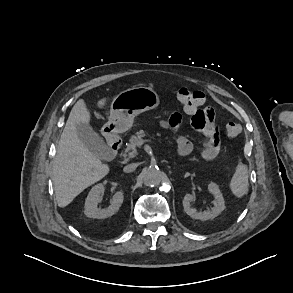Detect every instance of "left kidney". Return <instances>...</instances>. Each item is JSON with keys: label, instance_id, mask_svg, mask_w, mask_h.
<instances>
[{"label": "left kidney", "instance_id": "obj_1", "mask_svg": "<svg viewBox=\"0 0 293 293\" xmlns=\"http://www.w3.org/2000/svg\"><path fill=\"white\" fill-rule=\"evenodd\" d=\"M208 191L214 196V207L210 211L198 212L195 208L191 207V203L195 200L194 195L186 194L184 196L182 201L184 211L191 218L201 221L214 219L225 209L224 198L220 192L219 186L211 182L208 184Z\"/></svg>", "mask_w": 293, "mask_h": 293}]
</instances>
